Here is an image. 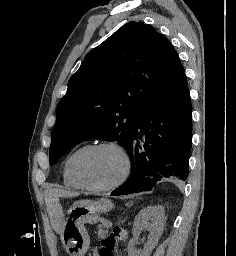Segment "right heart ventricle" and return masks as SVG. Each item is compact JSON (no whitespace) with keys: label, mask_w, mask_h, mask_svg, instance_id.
<instances>
[{"label":"right heart ventricle","mask_w":236,"mask_h":256,"mask_svg":"<svg viewBox=\"0 0 236 256\" xmlns=\"http://www.w3.org/2000/svg\"><path fill=\"white\" fill-rule=\"evenodd\" d=\"M89 144L74 149L64 160L62 166V181L68 188L82 190L84 189L78 180L77 165L80 157L90 148Z\"/></svg>","instance_id":"1"}]
</instances>
